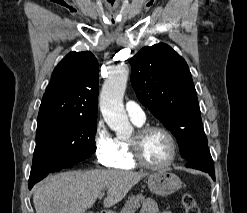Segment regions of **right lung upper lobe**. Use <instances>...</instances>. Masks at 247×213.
<instances>
[{
    "mask_svg": "<svg viewBox=\"0 0 247 213\" xmlns=\"http://www.w3.org/2000/svg\"><path fill=\"white\" fill-rule=\"evenodd\" d=\"M99 65L89 52H70L56 66L43 95L38 120L97 119Z\"/></svg>",
    "mask_w": 247,
    "mask_h": 213,
    "instance_id": "obj_1",
    "label": "right lung upper lobe"
}]
</instances>
